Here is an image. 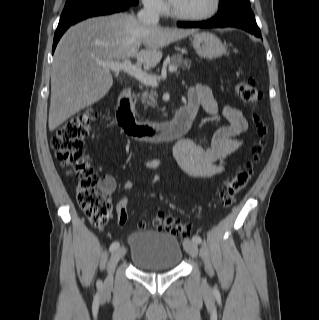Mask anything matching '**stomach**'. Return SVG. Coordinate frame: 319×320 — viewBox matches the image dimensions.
Listing matches in <instances>:
<instances>
[{
    "label": "stomach",
    "instance_id": "stomach-1",
    "mask_svg": "<svg viewBox=\"0 0 319 320\" xmlns=\"http://www.w3.org/2000/svg\"><path fill=\"white\" fill-rule=\"evenodd\" d=\"M192 45L199 55L208 59L219 58L226 52V48L221 40L215 34L208 31L194 34Z\"/></svg>",
    "mask_w": 319,
    "mask_h": 320
}]
</instances>
